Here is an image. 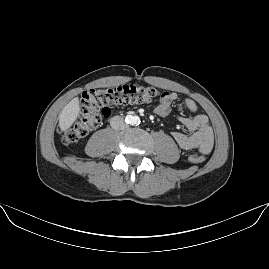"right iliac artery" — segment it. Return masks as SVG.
I'll return each instance as SVG.
<instances>
[{
  "mask_svg": "<svg viewBox=\"0 0 269 269\" xmlns=\"http://www.w3.org/2000/svg\"><path fill=\"white\" fill-rule=\"evenodd\" d=\"M125 122L128 123V124L132 123V122H133V117L130 116V115H128V116L125 118Z\"/></svg>",
  "mask_w": 269,
  "mask_h": 269,
  "instance_id": "82829eb1",
  "label": "right iliac artery"
}]
</instances>
